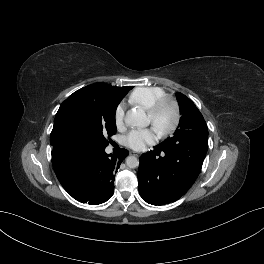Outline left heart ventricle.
Here are the masks:
<instances>
[{"label":"left heart ventricle","instance_id":"obj_1","mask_svg":"<svg viewBox=\"0 0 264 264\" xmlns=\"http://www.w3.org/2000/svg\"><path fill=\"white\" fill-rule=\"evenodd\" d=\"M149 121L151 122V118L148 116ZM172 121V111L169 106L163 108L157 118V126L159 127H166Z\"/></svg>","mask_w":264,"mask_h":264}]
</instances>
